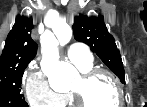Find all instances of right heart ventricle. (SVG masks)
<instances>
[{
  "label": "right heart ventricle",
  "instance_id": "obj_1",
  "mask_svg": "<svg viewBox=\"0 0 147 107\" xmlns=\"http://www.w3.org/2000/svg\"><path fill=\"white\" fill-rule=\"evenodd\" d=\"M91 66H92V64L89 65V66L78 67V68H79L81 71H86V70L90 69ZM62 105H72V98H71V96H70L69 94H67V95L65 96V98H64V100H63V102H62Z\"/></svg>",
  "mask_w": 147,
  "mask_h": 107
}]
</instances>
